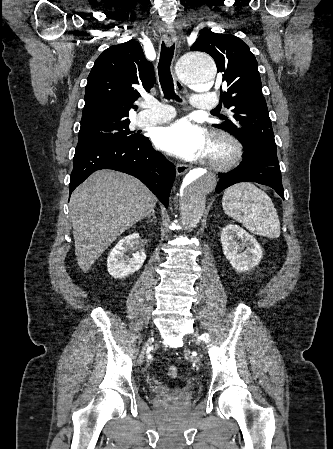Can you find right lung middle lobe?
<instances>
[{"mask_svg": "<svg viewBox=\"0 0 333 449\" xmlns=\"http://www.w3.org/2000/svg\"><path fill=\"white\" fill-rule=\"evenodd\" d=\"M129 124V120H124L103 122L80 128L78 144L92 141H120L134 144L141 141L144 136L130 131Z\"/></svg>", "mask_w": 333, "mask_h": 449, "instance_id": "obj_1", "label": "right lung middle lobe"}]
</instances>
